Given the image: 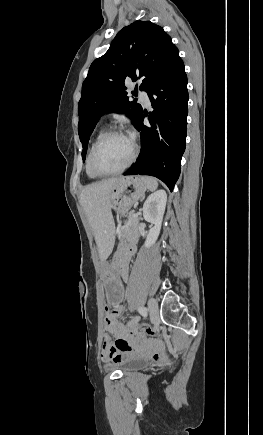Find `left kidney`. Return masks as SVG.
I'll return each instance as SVG.
<instances>
[{
	"mask_svg": "<svg viewBox=\"0 0 263 435\" xmlns=\"http://www.w3.org/2000/svg\"><path fill=\"white\" fill-rule=\"evenodd\" d=\"M167 202L165 190H157L150 194L143 205V217L146 221L154 224L149 230L145 240V247H151L160 234L162 220Z\"/></svg>",
	"mask_w": 263,
	"mask_h": 435,
	"instance_id": "left-kidney-1",
	"label": "left kidney"
}]
</instances>
